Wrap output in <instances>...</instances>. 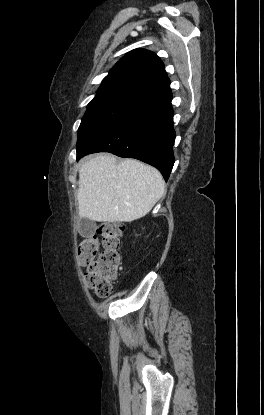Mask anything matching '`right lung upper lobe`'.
<instances>
[{
  "mask_svg": "<svg viewBox=\"0 0 264 415\" xmlns=\"http://www.w3.org/2000/svg\"><path fill=\"white\" fill-rule=\"evenodd\" d=\"M170 90L164 64L153 52L135 49L103 79L97 95L124 94L146 100Z\"/></svg>",
  "mask_w": 264,
  "mask_h": 415,
  "instance_id": "1",
  "label": "right lung upper lobe"
}]
</instances>
